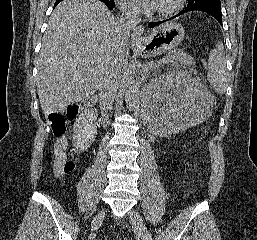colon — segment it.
<instances>
[{
	"label": "colon",
	"instance_id": "colon-1",
	"mask_svg": "<svg viewBox=\"0 0 257 240\" xmlns=\"http://www.w3.org/2000/svg\"><path fill=\"white\" fill-rule=\"evenodd\" d=\"M77 108L70 107L66 116L59 113H52L49 115V124L55 137H60L66 130V120L73 119L76 116ZM56 171L58 173H70L74 170L75 165L73 161L64 158H56Z\"/></svg>",
	"mask_w": 257,
	"mask_h": 240
}]
</instances>
